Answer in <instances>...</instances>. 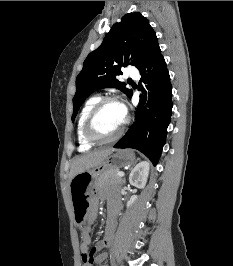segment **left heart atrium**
Instances as JSON below:
<instances>
[{"mask_svg":"<svg viewBox=\"0 0 233 266\" xmlns=\"http://www.w3.org/2000/svg\"><path fill=\"white\" fill-rule=\"evenodd\" d=\"M120 106H121V110H122L123 118H124V120H125L126 115H127V108H126V106H125L124 104H120Z\"/></svg>","mask_w":233,"mask_h":266,"instance_id":"left-heart-atrium-1","label":"left heart atrium"}]
</instances>
